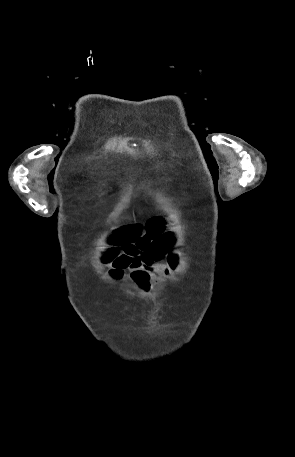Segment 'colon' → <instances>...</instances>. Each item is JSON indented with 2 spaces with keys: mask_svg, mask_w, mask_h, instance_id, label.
Here are the masks:
<instances>
[{
  "mask_svg": "<svg viewBox=\"0 0 295 457\" xmlns=\"http://www.w3.org/2000/svg\"><path fill=\"white\" fill-rule=\"evenodd\" d=\"M137 253L135 248L129 247L123 253L110 257L108 262L112 264V273L118 276L125 269L136 267L138 265V261L135 259Z\"/></svg>",
  "mask_w": 295,
  "mask_h": 457,
  "instance_id": "5ec220e1",
  "label": "colon"
}]
</instances>
